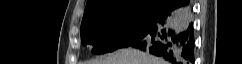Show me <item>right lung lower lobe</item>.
Returning a JSON list of instances; mask_svg holds the SVG:
<instances>
[{"mask_svg":"<svg viewBox=\"0 0 242 64\" xmlns=\"http://www.w3.org/2000/svg\"><path fill=\"white\" fill-rule=\"evenodd\" d=\"M130 46L171 64L194 63V30L188 0H168L157 21Z\"/></svg>","mask_w":242,"mask_h":64,"instance_id":"1","label":"right lung lower lobe"}]
</instances>
